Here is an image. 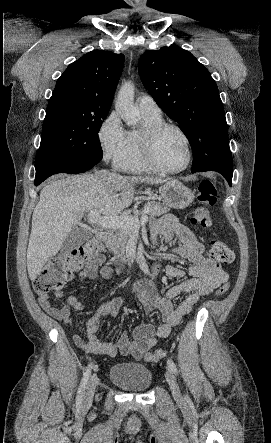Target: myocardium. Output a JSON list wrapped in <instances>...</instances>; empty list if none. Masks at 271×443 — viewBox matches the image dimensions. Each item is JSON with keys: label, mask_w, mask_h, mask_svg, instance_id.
Instances as JSON below:
<instances>
[{"label": "myocardium", "mask_w": 271, "mask_h": 443, "mask_svg": "<svg viewBox=\"0 0 271 443\" xmlns=\"http://www.w3.org/2000/svg\"><path fill=\"white\" fill-rule=\"evenodd\" d=\"M166 129H174L176 130L184 139L187 150L188 157L186 162L177 168H168L165 167L157 158L156 154V143L160 134ZM142 149L145 161L147 164L155 171L165 173V174H174L179 173L186 170L192 163L194 150L192 146V142L188 134L177 124L161 121L151 126L147 127L142 135Z\"/></svg>", "instance_id": "obj_1"}]
</instances>
